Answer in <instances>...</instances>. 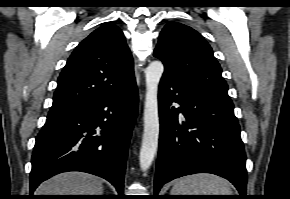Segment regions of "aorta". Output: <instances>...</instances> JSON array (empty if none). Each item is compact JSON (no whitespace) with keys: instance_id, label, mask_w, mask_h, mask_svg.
Masks as SVG:
<instances>
[{"instance_id":"aorta-1","label":"aorta","mask_w":290,"mask_h":199,"mask_svg":"<svg viewBox=\"0 0 290 199\" xmlns=\"http://www.w3.org/2000/svg\"><path fill=\"white\" fill-rule=\"evenodd\" d=\"M163 72L164 66L161 61L151 62L145 71L144 133L139 155V164L143 172L150 168L157 153L160 131L158 85Z\"/></svg>"}]
</instances>
